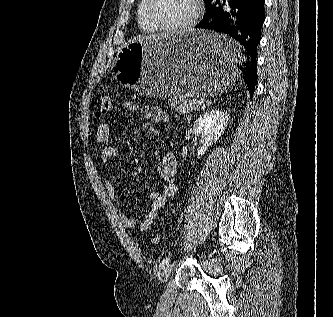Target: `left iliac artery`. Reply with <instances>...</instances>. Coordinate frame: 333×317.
I'll use <instances>...</instances> for the list:
<instances>
[{
    "label": "left iliac artery",
    "mask_w": 333,
    "mask_h": 317,
    "mask_svg": "<svg viewBox=\"0 0 333 317\" xmlns=\"http://www.w3.org/2000/svg\"><path fill=\"white\" fill-rule=\"evenodd\" d=\"M170 263V258H165L163 259L161 266L164 268L165 266H167Z\"/></svg>",
    "instance_id": "obj_1"
}]
</instances>
